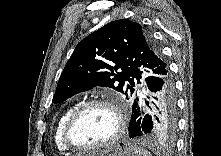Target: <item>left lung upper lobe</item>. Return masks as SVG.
<instances>
[{
  "mask_svg": "<svg viewBox=\"0 0 221 156\" xmlns=\"http://www.w3.org/2000/svg\"><path fill=\"white\" fill-rule=\"evenodd\" d=\"M165 68L158 47L139 23L112 21L78 43L60 76L53 102L95 86L116 89L128 98L136 84H144L148 73Z\"/></svg>",
  "mask_w": 221,
  "mask_h": 156,
  "instance_id": "5c2ea615",
  "label": "left lung upper lobe"
}]
</instances>
